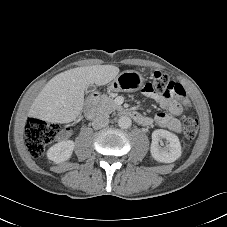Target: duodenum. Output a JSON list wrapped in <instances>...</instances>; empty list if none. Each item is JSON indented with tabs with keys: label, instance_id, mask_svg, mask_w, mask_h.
I'll list each match as a JSON object with an SVG mask.
<instances>
[{
	"label": "duodenum",
	"instance_id": "obj_1",
	"mask_svg": "<svg viewBox=\"0 0 227 227\" xmlns=\"http://www.w3.org/2000/svg\"><path fill=\"white\" fill-rule=\"evenodd\" d=\"M99 98V94H93L91 95L87 101H86V106H85V115L88 119H92L95 115V104ZM119 115L121 116H127L132 118L134 121L143 124L146 120L145 116H143L141 113L130 110V109H120L119 110Z\"/></svg>",
	"mask_w": 227,
	"mask_h": 227
}]
</instances>
